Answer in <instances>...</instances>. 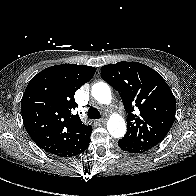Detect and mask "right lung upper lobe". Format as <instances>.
<instances>
[{
  "instance_id": "right-lung-upper-lobe-1",
  "label": "right lung upper lobe",
  "mask_w": 196,
  "mask_h": 196,
  "mask_svg": "<svg viewBox=\"0 0 196 196\" xmlns=\"http://www.w3.org/2000/svg\"><path fill=\"white\" fill-rule=\"evenodd\" d=\"M95 71L86 65L51 66L27 85L21 101L23 123L32 140L46 152L65 153L92 131L71 112L77 107L76 90L90 81Z\"/></svg>"
}]
</instances>
